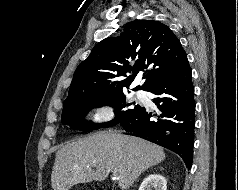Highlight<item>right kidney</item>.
Instances as JSON below:
<instances>
[{"label":"right kidney","instance_id":"right-kidney-1","mask_svg":"<svg viewBox=\"0 0 238 190\" xmlns=\"http://www.w3.org/2000/svg\"><path fill=\"white\" fill-rule=\"evenodd\" d=\"M165 177L159 174H151L146 177L139 190H167Z\"/></svg>","mask_w":238,"mask_h":190}]
</instances>
